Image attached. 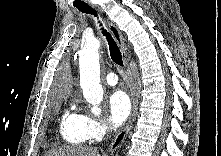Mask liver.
<instances>
[{
  "label": "liver",
  "instance_id": "6515ba94",
  "mask_svg": "<svg viewBox=\"0 0 221 156\" xmlns=\"http://www.w3.org/2000/svg\"><path fill=\"white\" fill-rule=\"evenodd\" d=\"M44 156H100V154L96 148L68 146L52 149Z\"/></svg>",
  "mask_w": 221,
  "mask_h": 156
}]
</instances>
